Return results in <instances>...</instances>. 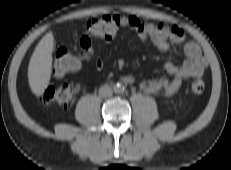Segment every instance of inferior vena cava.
I'll return each mask as SVG.
<instances>
[{
  "label": "inferior vena cava",
  "instance_id": "1",
  "mask_svg": "<svg viewBox=\"0 0 231 170\" xmlns=\"http://www.w3.org/2000/svg\"><path fill=\"white\" fill-rule=\"evenodd\" d=\"M112 94H113V90L109 86H102L99 89V95L101 97H110V96H112Z\"/></svg>",
  "mask_w": 231,
  "mask_h": 170
}]
</instances>
